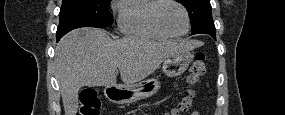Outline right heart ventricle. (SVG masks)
<instances>
[{"label": "right heart ventricle", "instance_id": "e07e8e85", "mask_svg": "<svg viewBox=\"0 0 285 115\" xmlns=\"http://www.w3.org/2000/svg\"><path fill=\"white\" fill-rule=\"evenodd\" d=\"M158 0H129L118 6L120 31L131 37L165 40L170 37L161 32L153 21Z\"/></svg>", "mask_w": 285, "mask_h": 115}]
</instances>
